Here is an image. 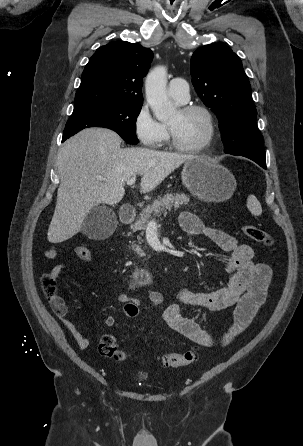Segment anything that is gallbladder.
<instances>
[{"label": "gallbladder", "instance_id": "obj_1", "mask_svg": "<svg viewBox=\"0 0 303 446\" xmlns=\"http://www.w3.org/2000/svg\"><path fill=\"white\" fill-rule=\"evenodd\" d=\"M114 212L105 206H96L85 218L82 232L91 239H103L110 235L116 226Z\"/></svg>", "mask_w": 303, "mask_h": 446}]
</instances>
